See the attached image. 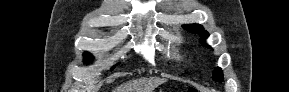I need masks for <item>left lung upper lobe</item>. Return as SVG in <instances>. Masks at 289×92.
Returning <instances> with one entry per match:
<instances>
[{"mask_svg": "<svg viewBox=\"0 0 289 92\" xmlns=\"http://www.w3.org/2000/svg\"><path fill=\"white\" fill-rule=\"evenodd\" d=\"M183 28L191 33L198 34L200 36V42L205 45V40L209 37L207 31H204V28L201 25L191 24L185 25ZM210 48L208 45H206ZM213 80L222 82L223 81V73L220 68H216L213 72Z\"/></svg>", "mask_w": 289, "mask_h": 92, "instance_id": "left-lung-upper-lobe-1", "label": "left lung upper lobe"}]
</instances>
